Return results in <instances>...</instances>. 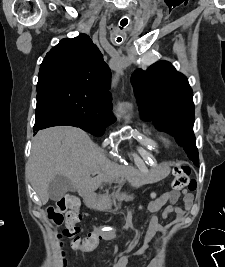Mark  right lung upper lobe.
<instances>
[{
    "instance_id": "1",
    "label": "right lung upper lobe",
    "mask_w": 225,
    "mask_h": 267,
    "mask_svg": "<svg viewBox=\"0 0 225 267\" xmlns=\"http://www.w3.org/2000/svg\"><path fill=\"white\" fill-rule=\"evenodd\" d=\"M64 78L91 87L111 101L109 85L111 72L103 56L85 34L73 39H63L46 54L39 80Z\"/></svg>"
}]
</instances>
